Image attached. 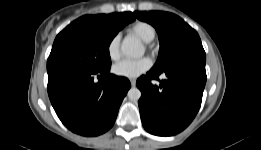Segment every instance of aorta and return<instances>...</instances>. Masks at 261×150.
<instances>
[{
  "mask_svg": "<svg viewBox=\"0 0 261 150\" xmlns=\"http://www.w3.org/2000/svg\"><path fill=\"white\" fill-rule=\"evenodd\" d=\"M121 52L126 57L139 58L144 55L145 48L139 41L125 38L121 44ZM127 95L131 101H138L141 97V91L137 87H132Z\"/></svg>",
  "mask_w": 261,
  "mask_h": 150,
  "instance_id": "aorta-1",
  "label": "aorta"
}]
</instances>
